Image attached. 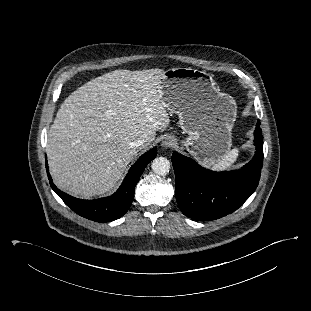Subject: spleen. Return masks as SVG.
Wrapping results in <instances>:
<instances>
[{"label": "spleen", "mask_w": 311, "mask_h": 311, "mask_svg": "<svg viewBox=\"0 0 311 311\" xmlns=\"http://www.w3.org/2000/svg\"><path fill=\"white\" fill-rule=\"evenodd\" d=\"M239 150L232 149L220 161L212 166L213 170L220 171L229 169L234 165L238 158Z\"/></svg>", "instance_id": "1"}]
</instances>
